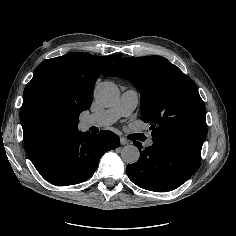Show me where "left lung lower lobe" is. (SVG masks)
<instances>
[{
    "label": "left lung lower lobe",
    "instance_id": "1",
    "mask_svg": "<svg viewBox=\"0 0 236 236\" xmlns=\"http://www.w3.org/2000/svg\"><path fill=\"white\" fill-rule=\"evenodd\" d=\"M152 140L153 144L145 149L140 142H134L140 158L127 166L128 177L137 186L150 191L164 192L178 188L197 170L201 151L167 138Z\"/></svg>",
    "mask_w": 236,
    "mask_h": 236
}]
</instances>
